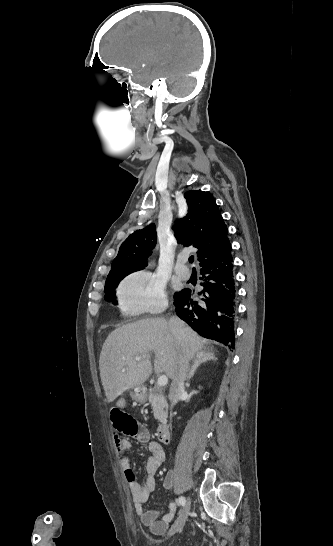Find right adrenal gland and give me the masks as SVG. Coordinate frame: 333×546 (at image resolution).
Returning <instances> with one entry per match:
<instances>
[{"label":"right adrenal gland","mask_w":333,"mask_h":546,"mask_svg":"<svg viewBox=\"0 0 333 546\" xmlns=\"http://www.w3.org/2000/svg\"><path fill=\"white\" fill-rule=\"evenodd\" d=\"M208 360H217V358L214 356L213 353L211 352H201L199 354L196 355V358L194 360V364L187 376V379L186 381L187 382H190L191 378L194 376L195 374V371L197 370V368L200 366V364L204 363V362H207Z\"/></svg>","instance_id":"1"}]
</instances>
